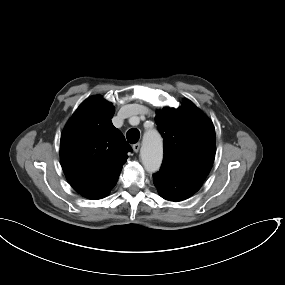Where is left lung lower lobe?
<instances>
[{
    "mask_svg": "<svg viewBox=\"0 0 285 285\" xmlns=\"http://www.w3.org/2000/svg\"><path fill=\"white\" fill-rule=\"evenodd\" d=\"M161 197L169 201H183L196 193L201 184L159 171L153 175Z\"/></svg>",
    "mask_w": 285,
    "mask_h": 285,
    "instance_id": "1",
    "label": "left lung lower lobe"
}]
</instances>
